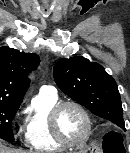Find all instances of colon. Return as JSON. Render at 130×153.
Returning a JSON list of instances; mask_svg holds the SVG:
<instances>
[{"label":"colon","mask_w":130,"mask_h":153,"mask_svg":"<svg viewBox=\"0 0 130 153\" xmlns=\"http://www.w3.org/2000/svg\"><path fill=\"white\" fill-rule=\"evenodd\" d=\"M103 150L105 153H125L122 137L116 133H109L104 137Z\"/></svg>","instance_id":"1"}]
</instances>
